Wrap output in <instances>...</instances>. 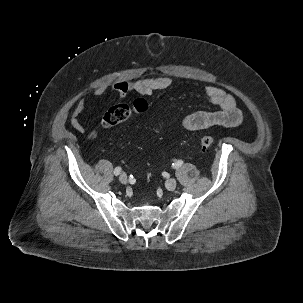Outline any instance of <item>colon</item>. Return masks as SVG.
<instances>
[{"instance_id": "1", "label": "colon", "mask_w": 303, "mask_h": 303, "mask_svg": "<svg viewBox=\"0 0 303 303\" xmlns=\"http://www.w3.org/2000/svg\"><path fill=\"white\" fill-rule=\"evenodd\" d=\"M149 109L148 102L143 98L136 99L131 105L118 104L109 108L101 119L104 128H111L127 120L133 114L145 113ZM215 142L212 135H202L199 143L203 149L211 147Z\"/></svg>"}]
</instances>
